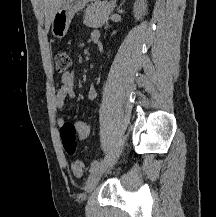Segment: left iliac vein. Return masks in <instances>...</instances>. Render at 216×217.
Here are the masks:
<instances>
[{
  "instance_id": "4c4485c4",
  "label": "left iliac vein",
  "mask_w": 216,
  "mask_h": 217,
  "mask_svg": "<svg viewBox=\"0 0 216 217\" xmlns=\"http://www.w3.org/2000/svg\"><path fill=\"white\" fill-rule=\"evenodd\" d=\"M104 170H105V163L95 167L91 171V173H90V175H89V177L87 179L86 186H85V190H86L87 193H90V192H92L94 190V188L98 184Z\"/></svg>"
}]
</instances>
